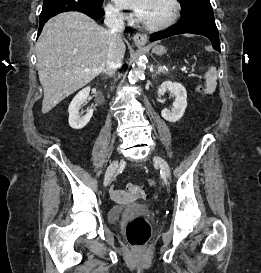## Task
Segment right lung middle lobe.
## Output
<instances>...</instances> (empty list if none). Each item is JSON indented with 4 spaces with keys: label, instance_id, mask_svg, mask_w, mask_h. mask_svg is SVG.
<instances>
[{
    "label": "right lung middle lobe",
    "instance_id": "dd1d6c3e",
    "mask_svg": "<svg viewBox=\"0 0 261 273\" xmlns=\"http://www.w3.org/2000/svg\"><path fill=\"white\" fill-rule=\"evenodd\" d=\"M87 1H89V2H95V3H98V4H102L103 3V0H87ZM44 9L45 10H50L52 8L49 7V6H46V7H44Z\"/></svg>",
    "mask_w": 261,
    "mask_h": 273
}]
</instances>
